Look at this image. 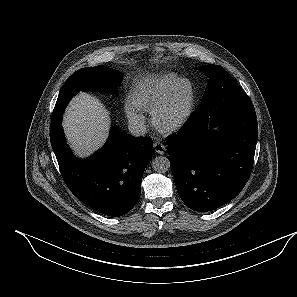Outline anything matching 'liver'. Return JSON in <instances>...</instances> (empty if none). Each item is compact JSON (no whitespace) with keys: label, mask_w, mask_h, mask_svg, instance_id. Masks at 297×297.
<instances>
[{"label":"liver","mask_w":297,"mask_h":297,"mask_svg":"<svg viewBox=\"0 0 297 297\" xmlns=\"http://www.w3.org/2000/svg\"><path fill=\"white\" fill-rule=\"evenodd\" d=\"M110 116L95 97L80 93L70 102L63 118V128L71 148L80 157H87L106 141Z\"/></svg>","instance_id":"liver-1"}]
</instances>
